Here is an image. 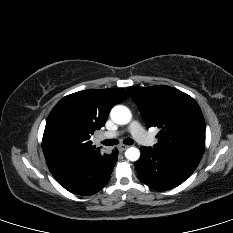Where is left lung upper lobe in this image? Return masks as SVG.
I'll use <instances>...</instances> for the list:
<instances>
[{
  "mask_svg": "<svg viewBox=\"0 0 233 233\" xmlns=\"http://www.w3.org/2000/svg\"><path fill=\"white\" fill-rule=\"evenodd\" d=\"M147 127L160 129L156 149L204 153L205 120L197 102L173 87H128Z\"/></svg>",
  "mask_w": 233,
  "mask_h": 233,
  "instance_id": "obj_1",
  "label": "left lung upper lobe"
}]
</instances>
